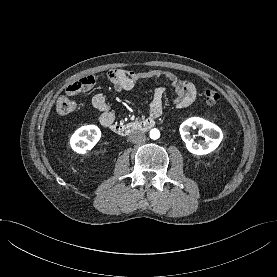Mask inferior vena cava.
<instances>
[{"label":"inferior vena cava","mask_w":277,"mask_h":277,"mask_svg":"<svg viewBox=\"0 0 277 277\" xmlns=\"http://www.w3.org/2000/svg\"><path fill=\"white\" fill-rule=\"evenodd\" d=\"M128 138L132 143H139L145 139V134L140 131H134L129 135Z\"/></svg>","instance_id":"1"}]
</instances>
